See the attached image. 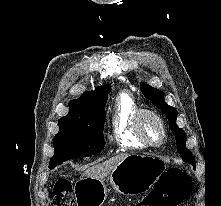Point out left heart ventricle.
<instances>
[{
  "label": "left heart ventricle",
  "instance_id": "b2bd125f",
  "mask_svg": "<svg viewBox=\"0 0 221 206\" xmlns=\"http://www.w3.org/2000/svg\"><path fill=\"white\" fill-rule=\"evenodd\" d=\"M143 127L148 139L153 143H158L161 139V129L158 123L152 118H144Z\"/></svg>",
  "mask_w": 221,
  "mask_h": 206
}]
</instances>
